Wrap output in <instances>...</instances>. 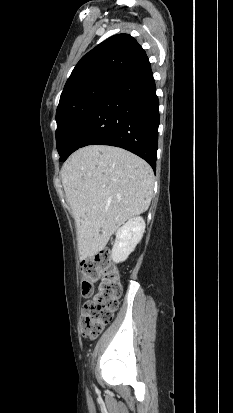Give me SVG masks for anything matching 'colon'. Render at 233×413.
<instances>
[{"label":"colon","instance_id":"obj_1","mask_svg":"<svg viewBox=\"0 0 233 413\" xmlns=\"http://www.w3.org/2000/svg\"><path fill=\"white\" fill-rule=\"evenodd\" d=\"M82 294H93L85 303L82 311L81 334L93 338L101 333L104 327L112 320L118 308L122 293L119 272L113 265L110 253L101 251L81 264Z\"/></svg>","mask_w":233,"mask_h":413}]
</instances>
